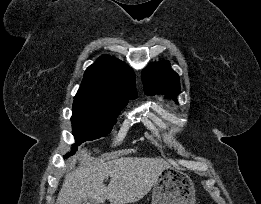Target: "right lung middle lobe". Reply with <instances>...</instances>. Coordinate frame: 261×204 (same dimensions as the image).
I'll use <instances>...</instances> for the list:
<instances>
[{
  "mask_svg": "<svg viewBox=\"0 0 261 204\" xmlns=\"http://www.w3.org/2000/svg\"><path fill=\"white\" fill-rule=\"evenodd\" d=\"M125 105H99L89 101L74 100L71 118L76 144L66 157L75 153L85 141L106 136L116 123L118 113Z\"/></svg>",
  "mask_w": 261,
  "mask_h": 204,
  "instance_id": "dd1d6c3e",
  "label": "right lung middle lobe"
}]
</instances>
